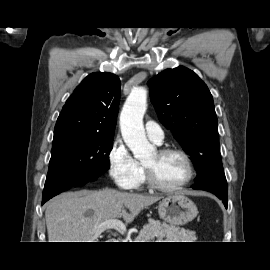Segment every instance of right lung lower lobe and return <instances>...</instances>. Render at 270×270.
Masks as SVG:
<instances>
[{"mask_svg": "<svg viewBox=\"0 0 270 270\" xmlns=\"http://www.w3.org/2000/svg\"><path fill=\"white\" fill-rule=\"evenodd\" d=\"M97 178L93 179H75L73 176H70L69 174L65 173L62 175L54 176L51 178H47L45 182V187L43 191V197H42V204H44L46 201L54 197L55 195L59 194L62 191H66L70 189L71 187L75 186H82L85 185L88 182L94 181ZM61 186L62 191L58 193L49 194L47 189H49L51 186Z\"/></svg>", "mask_w": 270, "mask_h": 270, "instance_id": "right-lung-lower-lobe-1", "label": "right lung lower lobe"}]
</instances>
